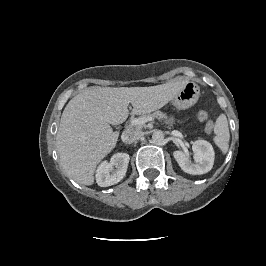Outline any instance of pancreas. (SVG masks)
<instances>
[{"label": "pancreas", "mask_w": 266, "mask_h": 266, "mask_svg": "<svg viewBox=\"0 0 266 266\" xmlns=\"http://www.w3.org/2000/svg\"><path fill=\"white\" fill-rule=\"evenodd\" d=\"M146 118V117H153V118H158V119H165L166 118V114L163 113L162 111H155L152 114H148V115H142L139 118ZM137 127H141V126H137Z\"/></svg>", "instance_id": "pancreas-1"}]
</instances>
